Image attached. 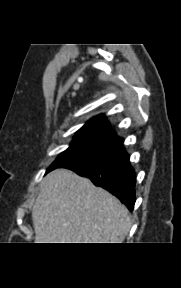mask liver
<instances>
[{
  "mask_svg": "<svg viewBox=\"0 0 181 288\" xmlns=\"http://www.w3.org/2000/svg\"><path fill=\"white\" fill-rule=\"evenodd\" d=\"M32 221L36 243H122L131 228L116 197L64 168L42 180Z\"/></svg>",
  "mask_w": 181,
  "mask_h": 288,
  "instance_id": "liver-1",
  "label": "liver"
}]
</instances>
